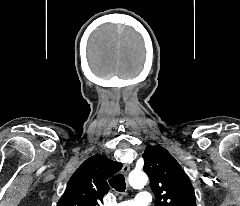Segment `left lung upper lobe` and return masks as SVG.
I'll return each instance as SVG.
<instances>
[{
	"instance_id": "5c2ea615",
	"label": "left lung upper lobe",
	"mask_w": 240,
	"mask_h": 206,
	"mask_svg": "<svg viewBox=\"0 0 240 206\" xmlns=\"http://www.w3.org/2000/svg\"><path fill=\"white\" fill-rule=\"evenodd\" d=\"M143 158L156 206H196L189 177L166 149L147 145Z\"/></svg>"
}]
</instances>
